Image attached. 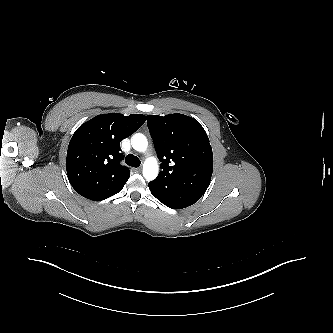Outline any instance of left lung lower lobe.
<instances>
[{
  "label": "left lung lower lobe",
  "mask_w": 333,
  "mask_h": 333,
  "mask_svg": "<svg viewBox=\"0 0 333 333\" xmlns=\"http://www.w3.org/2000/svg\"><path fill=\"white\" fill-rule=\"evenodd\" d=\"M148 186L153 196H155L161 203L172 209L186 208L196 203L201 198L200 195L185 193L178 190H157V188L150 183Z\"/></svg>",
  "instance_id": "0a47b994"
}]
</instances>
